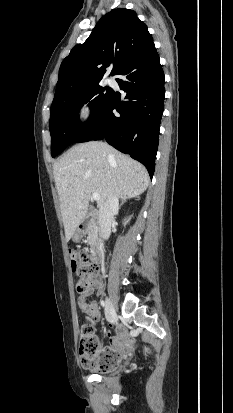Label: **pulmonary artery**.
Returning <instances> with one entry per match:
<instances>
[{
	"instance_id": "e3ab8cb5",
	"label": "pulmonary artery",
	"mask_w": 233,
	"mask_h": 413,
	"mask_svg": "<svg viewBox=\"0 0 233 413\" xmlns=\"http://www.w3.org/2000/svg\"><path fill=\"white\" fill-rule=\"evenodd\" d=\"M108 83L112 84V83H113V80H112V79H109V80H108Z\"/></svg>"
}]
</instances>
